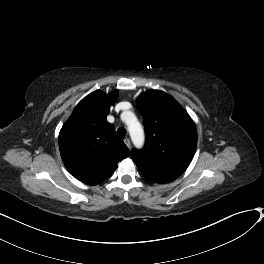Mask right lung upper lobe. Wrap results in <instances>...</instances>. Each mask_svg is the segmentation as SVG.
Instances as JSON below:
<instances>
[{"label":"right lung upper lobe","mask_w":264,"mask_h":264,"mask_svg":"<svg viewBox=\"0 0 264 264\" xmlns=\"http://www.w3.org/2000/svg\"><path fill=\"white\" fill-rule=\"evenodd\" d=\"M118 90H97L75 107L59 133V148L65 167L78 180L96 185L110 177L118 162L129 156L126 145L116 137L106 120Z\"/></svg>","instance_id":"obj_1"}]
</instances>
